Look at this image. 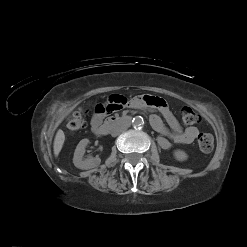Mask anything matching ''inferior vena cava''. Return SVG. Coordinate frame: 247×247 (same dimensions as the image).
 I'll list each match as a JSON object with an SVG mask.
<instances>
[{
	"mask_svg": "<svg viewBox=\"0 0 247 247\" xmlns=\"http://www.w3.org/2000/svg\"><path fill=\"white\" fill-rule=\"evenodd\" d=\"M127 129V126L125 125H121V126H117L115 128L112 129L111 131V135L113 137L118 136L120 133L124 132Z\"/></svg>",
	"mask_w": 247,
	"mask_h": 247,
	"instance_id": "602c4592",
	"label": "inferior vena cava"
}]
</instances>
